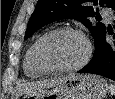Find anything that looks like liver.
<instances>
[{
  "mask_svg": "<svg viewBox=\"0 0 115 99\" xmlns=\"http://www.w3.org/2000/svg\"><path fill=\"white\" fill-rule=\"evenodd\" d=\"M73 76L74 75H68V76L59 77V78H55V79H51V80H47V81L29 82V83L23 84L21 86V92L26 94V93H32V92L52 88V87H55V86L63 83L65 80H67Z\"/></svg>",
  "mask_w": 115,
  "mask_h": 99,
  "instance_id": "6515ba94",
  "label": "liver"
}]
</instances>
